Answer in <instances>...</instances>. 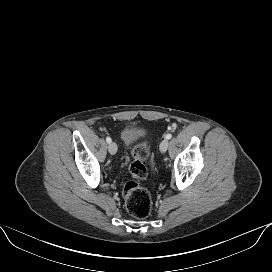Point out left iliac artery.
<instances>
[{"label": "left iliac artery", "instance_id": "left-iliac-artery-1", "mask_svg": "<svg viewBox=\"0 0 272 272\" xmlns=\"http://www.w3.org/2000/svg\"><path fill=\"white\" fill-rule=\"evenodd\" d=\"M165 138H166V139H171V138H172V135H171V134H167V135L165 136Z\"/></svg>", "mask_w": 272, "mask_h": 272}]
</instances>
